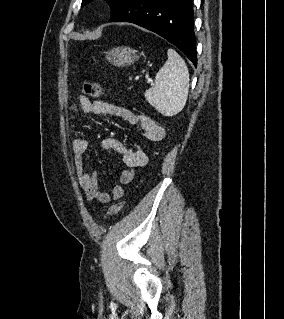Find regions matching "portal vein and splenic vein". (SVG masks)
<instances>
[{
  "mask_svg": "<svg viewBox=\"0 0 284 319\" xmlns=\"http://www.w3.org/2000/svg\"><path fill=\"white\" fill-rule=\"evenodd\" d=\"M150 82H152V80H151V79H148V80H147V83H150Z\"/></svg>",
  "mask_w": 284,
  "mask_h": 319,
  "instance_id": "obj_1",
  "label": "portal vein and splenic vein"
}]
</instances>
